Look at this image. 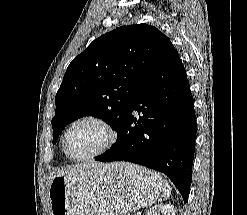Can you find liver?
<instances>
[{
    "label": "liver",
    "mask_w": 247,
    "mask_h": 215,
    "mask_svg": "<svg viewBox=\"0 0 247 215\" xmlns=\"http://www.w3.org/2000/svg\"><path fill=\"white\" fill-rule=\"evenodd\" d=\"M103 165L104 164L97 163V162H90L87 164L69 166L64 169L57 170L50 175L49 183H51V181L57 176H67L70 178H73L76 176H82L87 172L88 169L101 168Z\"/></svg>",
    "instance_id": "6515ba94"
}]
</instances>
